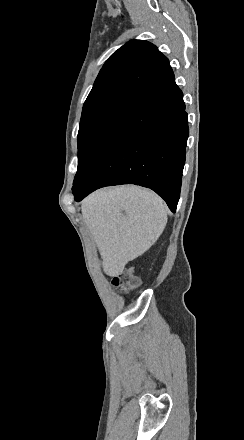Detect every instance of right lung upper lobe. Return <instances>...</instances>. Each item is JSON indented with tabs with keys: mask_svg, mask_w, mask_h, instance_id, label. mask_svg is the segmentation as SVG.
Segmentation results:
<instances>
[{
	"mask_svg": "<svg viewBox=\"0 0 244 440\" xmlns=\"http://www.w3.org/2000/svg\"><path fill=\"white\" fill-rule=\"evenodd\" d=\"M172 76L168 59L155 45L132 40L105 62L85 104L119 95L141 98Z\"/></svg>",
	"mask_w": 244,
	"mask_h": 440,
	"instance_id": "obj_1",
	"label": "right lung upper lobe"
}]
</instances>
